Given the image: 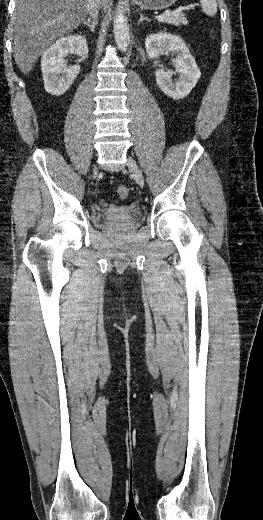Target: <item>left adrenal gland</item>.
<instances>
[{
  "label": "left adrenal gland",
  "mask_w": 263,
  "mask_h": 520,
  "mask_svg": "<svg viewBox=\"0 0 263 520\" xmlns=\"http://www.w3.org/2000/svg\"><path fill=\"white\" fill-rule=\"evenodd\" d=\"M139 20H138V25H140V23H142L143 21H148L150 22V19L148 17H144L142 13H139Z\"/></svg>",
  "instance_id": "left-adrenal-gland-1"
}]
</instances>
